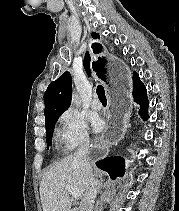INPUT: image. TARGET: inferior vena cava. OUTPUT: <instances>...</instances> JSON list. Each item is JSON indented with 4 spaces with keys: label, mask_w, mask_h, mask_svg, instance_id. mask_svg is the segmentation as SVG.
<instances>
[{
    "label": "inferior vena cava",
    "mask_w": 179,
    "mask_h": 211,
    "mask_svg": "<svg viewBox=\"0 0 179 211\" xmlns=\"http://www.w3.org/2000/svg\"><path fill=\"white\" fill-rule=\"evenodd\" d=\"M89 150V139L83 140L78 149L74 153L75 160L79 163V166L84 174L87 190L85 196L80 204V211H92L94 199L97 195V182L93 178L91 164L87 160V154Z\"/></svg>",
    "instance_id": "obj_1"
}]
</instances>
